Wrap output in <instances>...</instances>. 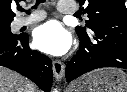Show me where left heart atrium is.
<instances>
[{
	"label": "left heart atrium",
	"mask_w": 127,
	"mask_h": 92,
	"mask_svg": "<svg viewBox=\"0 0 127 92\" xmlns=\"http://www.w3.org/2000/svg\"><path fill=\"white\" fill-rule=\"evenodd\" d=\"M33 42L42 52L63 55L71 46V36L58 21L51 20L35 29Z\"/></svg>",
	"instance_id": "left-heart-atrium-1"
}]
</instances>
